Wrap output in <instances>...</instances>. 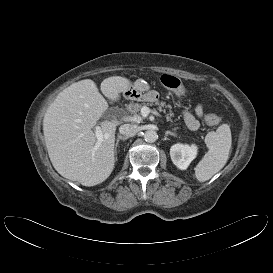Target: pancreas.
I'll use <instances>...</instances> for the list:
<instances>
[{"label": "pancreas", "instance_id": "obj_1", "mask_svg": "<svg viewBox=\"0 0 273 273\" xmlns=\"http://www.w3.org/2000/svg\"><path fill=\"white\" fill-rule=\"evenodd\" d=\"M152 105H157V106H159V108H158L159 111L166 112V109H168V110H169V113H167V114L165 115V117H166V120H167V121H172L173 113L171 112V106H170V105H166V103L163 102V101H161V102L156 101L154 104H153V103H147V104H146V103H141V104H139V103L131 102L130 104L127 105V108H126V109H127V111H128L131 115L140 118L138 112L142 109V107H144V106H152ZM163 108H165V109H163Z\"/></svg>", "mask_w": 273, "mask_h": 273}]
</instances>
